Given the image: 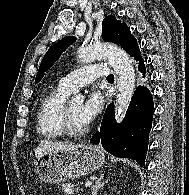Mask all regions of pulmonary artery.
<instances>
[{"instance_id": "e3ab8cb5", "label": "pulmonary artery", "mask_w": 189, "mask_h": 195, "mask_svg": "<svg viewBox=\"0 0 189 195\" xmlns=\"http://www.w3.org/2000/svg\"><path fill=\"white\" fill-rule=\"evenodd\" d=\"M106 76V68L102 64H91L76 70L63 77L59 86L68 92H74L81 87L90 84L98 78Z\"/></svg>"}]
</instances>
